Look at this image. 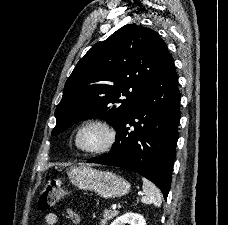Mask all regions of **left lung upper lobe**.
<instances>
[{
	"instance_id": "obj_1",
	"label": "left lung upper lobe",
	"mask_w": 228,
	"mask_h": 225,
	"mask_svg": "<svg viewBox=\"0 0 228 225\" xmlns=\"http://www.w3.org/2000/svg\"><path fill=\"white\" fill-rule=\"evenodd\" d=\"M171 58L156 31L137 24L121 27L91 48L74 68L55 110L52 135L94 117L116 129Z\"/></svg>"
}]
</instances>
